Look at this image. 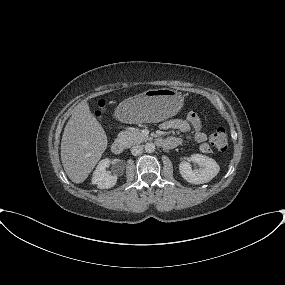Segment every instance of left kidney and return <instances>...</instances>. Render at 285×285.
I'll list each match as a JSON object with an SVG mask.
<instances>
[{"mask_svg": "<svg viewBox=\"0 0 285 285\" xmlns=\"http://www.w3.org/2000/svg\"><path fill=\"white\" fill-rule=\"evenodd\" d=\"M191 160L196 162L202 168L193 170L191 164L183 161L179 164V171L182 177L191 184H203L211 181L220 170L217 162L202 154L191 155Z\"/></svg>", "mask_w": 285, "mask_h": 285, "instance_id": "5707ae66", "label": "left kidney"}]
</instances>
